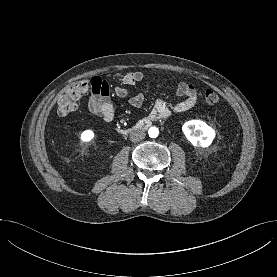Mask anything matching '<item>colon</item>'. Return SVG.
<instances>
[{
  "label": "colon",
  "instance_id": "5ec220e1",
  "mask_svg": "<svg viewBox=\"0 0 277 277\" xmlns=\"http://www.w3.org/2000/svg\"><path fill=\"white\" fill-rule=\"evenodd\" d=\"M88 88L89 83L87 81H81L73 85L64 95L58 99V114L65 116L74 112L77 109V100L83 96ZM204 99L207 104L214 105L219 101V96L214 90L207 89L204 92Z\"/></svg>",
  "mask_w": 277,
  "mask_h": 277
}]
</instances>
